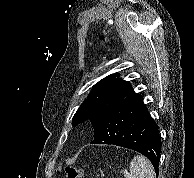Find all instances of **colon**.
Instances as JSON below:
<instances>
[{"label": "colon", "mask_w": 194, "mask_h": 178, "mask_svg": "<svg viewBox=\"0 0 194 178\" xmlns=\"http://www.w3.org/2000/svg\"><path fill=\"white\" fill-rule=\"evenodd\" d=\"M66 178H88L84 169L79 167L68 166L65 168Z\"/></svg>", "instance_id": "1"}]
</instances>
